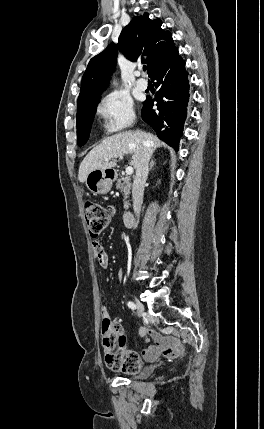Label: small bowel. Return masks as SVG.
Listing matches in <instances>:
<instances>
[{
	"mask_svg": "<svg viewBox=\"0 0 264 429\" xmlns=\"http://www.w3.org/2000/svg\"><path fill=\"white\" fill-rule=\"evenodd\" d=\"M93 252L95 257L97 258L99 264L106 268L109 265V255L104 249V247L98 241H94L92 244ZM119 278H122V272H119ZM102 312L104 314L107 313L106 307H102ZM141 336L145 339V341H149L150 339L153 341V344L148 345L141 352L142 357L147 361H154L158 359L162 354L167 357H173L181 353L182 344L180 340L173 336H162L152 329H143L141 331ZM134 353L132 351L124 352V355ZM120 371H125V369L121 368Z\"/></svg>",
	"mask_w": 264,
	"mask_h": 429,
	"instance_id": "1",
	"label": "small bowel"
}]
</instances>
